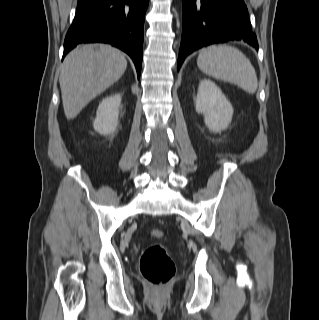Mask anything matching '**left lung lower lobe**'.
Instances as JSON below:
<instances>
[{"instance_id": "0a47b994", "label": "left lung lower lobe", "mask_w": 319, "mask_h": 320, "mask_svg": "<svg viewBox=\"0 0 319 320\" xmlns=\"http://www.w3.org/2000/svg\"><path fill=\"white\" fill-rule=\"evenodd\" d=\"M183 30L178 57L179 69L186 56L213 43L242 40L256 50L248 10L243 0H182Z\"/></svg>"}]
</instances>
